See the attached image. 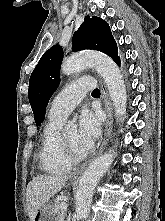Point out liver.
I'll list each match as a JSON object with an SVG mask.
<instances>
[{
	"mask_svg": "<svg viewBox=\"0 0 165 221\" xmlns=\"http://www.w3.org/2000/svg\"><path fill=\"white\" fill-rule=\"evenodd\" d=\"M67 180V175H55L37 176L29 182L26 190V201L30 221H34L39 208L57 194L65 186Z\"/></svg>",
	"mask_w": 165,
	"mask_h": 221,
	"instance_id": "1",
	"label": "liver"
}]
</instances>
